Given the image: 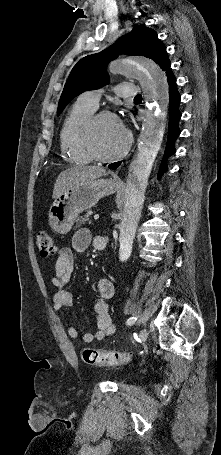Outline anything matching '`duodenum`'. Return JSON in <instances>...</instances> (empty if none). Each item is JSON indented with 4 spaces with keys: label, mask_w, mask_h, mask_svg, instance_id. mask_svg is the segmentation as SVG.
Listing matches in <instances>:
<instances>
[{
    "label": "duodenum",
    "mask_w": 221,
    "mask_h": 455,
    "mask_svg": "<svg viewBox=\"0 0 221 455\" xmlns=\"http://www.w3.org/2000/svg\"><path fill=\"white\" fill-rule=\"evenodd\" d=\"M95 248L99 251H103L106 248V238L100 236L96 241H95Z\"/></svg>",
    "instance_id": "duodenum-1"
}]
</instances>
